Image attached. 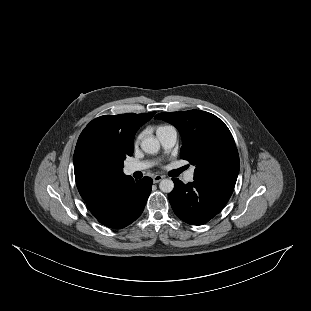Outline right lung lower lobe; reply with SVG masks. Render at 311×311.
Wrapping results in <instances>:
<instances>
[{
    "label": "right lung lower lobe",
    "instance_id": "1",
    "mask_svg": "<svg viewBox=\"0 0 311 311\" xmlns=\"http://www.w3.org/2000/svg\"><path fill=\"white\" fill-rule=\"evenodd\" d=\"M152 182L150 177L135 182L126 176L115 184L97 189L84 201L100 223L109 228L121 229L143 212Z\"/></svg>",
    "mask_w": 311,
    "mask_h": 311
}]
</instances>
